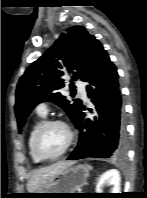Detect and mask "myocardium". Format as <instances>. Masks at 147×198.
I'll use <instances>...</instances> for the list:
<instances>
[{
  "mask_svg": "<svg viewBox=\"0 0 147 198\" xmlns=\"http://www.w3.org/2000/svg\"><path fill=\"white\" fill-rule=\"evenodd\" d=\"M53 125H60V126L64 127V129L67 132V141H66L65 146L63 147V149L60 152H58L57 154H54V155H47L40 148V139H41L43 133L49 127H51ZM73 140H74V133H73V130L70 127V125L66 121H64V120H61V119H52V120L45 121L38 128V130L36 131V133L34 135V138H33V150H34L35 154L40 159H42L44 161H51V160H55V159L63 156L68 151V149L70 148V146L72 145Z\"/></svg>",
  "mask_w": 147,
  "mask_h": 198,
  "instance_id": "f54148a6",
  "label": "myocardium"
}]
</instances>
